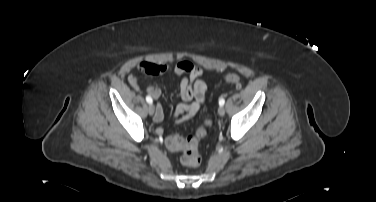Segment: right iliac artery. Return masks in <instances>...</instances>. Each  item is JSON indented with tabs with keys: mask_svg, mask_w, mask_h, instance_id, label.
<instances>
[{
	"mask_svg": "<svg viewBox=\"0 0 376 202\" xmlns=\"http://www.w3.org/2000/svg\"><path fill=\"white\" fill-rule=\"evenodd\" d=\"M146 101L149 103V104H152L153 100L150 96H146Z\"/></svg>",
	"mask_w": 376,
	"mask_h": 202,
	"instance_id": "82829eb1",
	"label": "right iliac artery"
}]
</instances>
